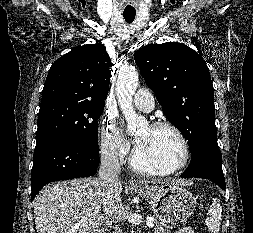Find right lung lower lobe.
I'll list each match as a JSON object with an SVG mask.
<instances>
[{"mask_svg":"<svg viewBox=\"0 0 253 233\" xmlns=\"http://www.w3.org/2000/svg\"><path fill=\"white\" fill-rule=\"evenodd\" d=\"M33 161L31 201L50 182L93 176L99 165V149L49 138L36 143Z\"/></svg>","mask_w":253,"mask_h":233,"instance_id":"98d812e1","label":"right lung lower lobe"}]
</instances>
